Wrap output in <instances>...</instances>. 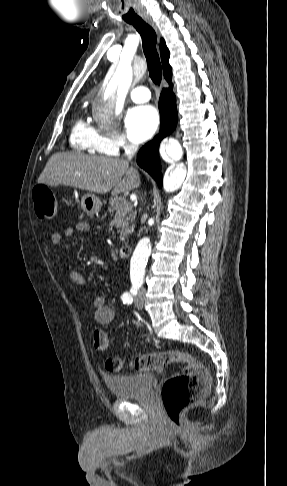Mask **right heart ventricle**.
Wrapping results in <instances>:
<instances>
[{
  "instance_id": "1",
  "label": "right heart ventricle",
  "mask_w": 287,
  "mask_h": 486,
  "mask_svg": "<svg viewBox=\"0 0 287 486\" xmlns=\"http://www.w3.org/2000/svg\"><path fill=\"white\" fill-rule=\"evenodd\" d=\"M100 133L89 123L80 119L74 124L71 134L70 143L73 148L79 151L89 153H101L97 149V141Z\"/></svg>"
}]
</instances>
